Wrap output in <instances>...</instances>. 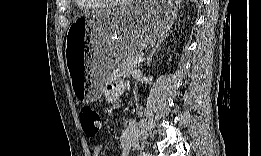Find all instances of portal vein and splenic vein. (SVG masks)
<instances>
[{
  "instance_id": "18ae733b",
  "label": "portal vein and splenic vein",
  "mask_w": 261,
  "mask_h": 156,
  "mask_svg": "<svg viewBox=\"0 0 261 156\" xmlns=\"http://www.w3.org/2000/svg\"><path fill=\"white\" fill-rule=\"evenodd\" d=\"M144 59H145L144 57H135L132 63L139 64V63L143 62Z\"/></svg>"
}]
</instances>
